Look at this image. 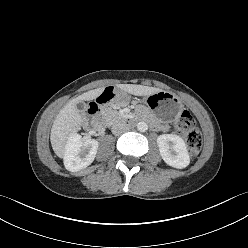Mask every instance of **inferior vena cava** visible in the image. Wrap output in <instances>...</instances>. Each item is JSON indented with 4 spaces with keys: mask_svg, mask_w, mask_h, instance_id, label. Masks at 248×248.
<instances>
[{
    "mask_svg": "<svg viewBox=\"0 0 248 248\" xmlns=\"http://www.w3.org/2000/svg\"><path fill=\"white\" fill-rule=\"evenodd\" d=\"M112 133L114 135L121 134L128 129L127 125L123 122H117L112 125Z\"/></svg>",
    "mask_w": 248,
    "mask_h": 248,
    "instance_id": "602c4592",
    "label": "inferior vena cava"
}]
</instances>
